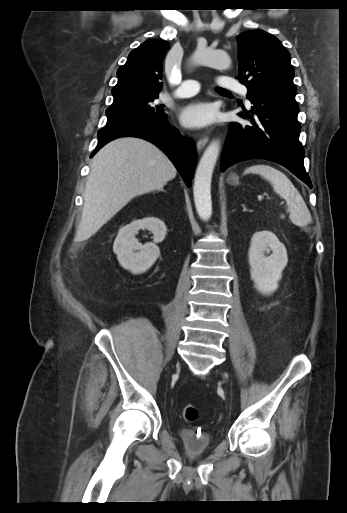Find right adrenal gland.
Instances as JSON below:
<instances>
[{"label":"right adrenal gland","instance_id":"1","mask_svg":"<svg viewBox=\"0 0 347 513\" xmlns=\"http://www.w3.org/2000/svg\"><path fill=\"white\" fill-rule=\"evenodd\" d=\"M161 192H166V191L162 189Z\"/></svg>","mask_w":347,"mask_h":513}]
</instances>
